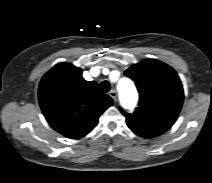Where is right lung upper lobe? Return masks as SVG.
Returning a JSON list of instances; mask_svg holds the SVG:
<instances>
[{
    "mask_svg": "<svg viewBox=\"0 0 212 183\" xmlns=\"http://www.w3.org/2000/svg\"><path fill=\"white\" fill-rule=\"evenodd\" d=\"M38 96L48 123L68 138L87 135L113 103L96 82L84 80L82 69L70 63L57 64L43 76Z\"/></svg>",
    "mask_w": 212,
    "mask_h": 183,
    "instance_id": "1",
    "label": "right lung upper lobe"
}]
</instances>
